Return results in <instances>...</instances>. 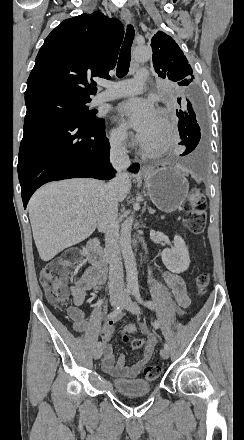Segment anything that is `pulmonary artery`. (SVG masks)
<instances>
[{
  "label": "pulmonary artery",
  "instance_id": "e3ab8cb5",
  "mask_svg": "<svg viewBox=\"0 0 244 440\" xmlns=\"http://www.w3.org/2000/svg\"><path fill=\"white\" fill-rule=\"evenodd\" d=\"M146 77H147L146 69H137L136 75H128L127 78L128 82L110 83L109 92L104 91L97 94L93 99V103L98 104L127 96H135L137 95L138 91H140L141 89L142 78H146Z\"/></svg>",
  "mask_w": 244,
  "mask_h": 440
}]
</instances>
